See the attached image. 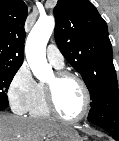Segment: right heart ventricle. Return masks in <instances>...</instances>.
Listing matches in <instances>:
<instances>
[{
    "instance_id": "obj_1",
    "label": "right heart ventricle",
    "mask_w": 119,
    "mask_h": 141,
    "mask_svg": "<svg viewBox=\"0 0 119 141\" xmlns=\"http://www.w3.org/2000/svg\"><path fill=\"white\" fill-rule=\"evenodd\" d=\"M29 114L31 117L35 118H48L51 115L46 106L44 97V84L42 83L38 84L37 95L29 109Z\"/></svg>"
}]
</instances>
